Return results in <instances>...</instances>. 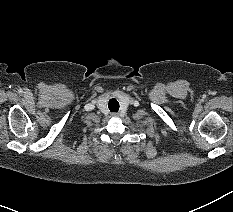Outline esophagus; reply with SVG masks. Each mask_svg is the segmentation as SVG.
Returning a JSON list of instances; mask_svg holds the SVG:
<instances>
[{
    "instance_id": "34e87169",
    "label": "esophagus",
    "mask_w": 233,
    "mask_h": 212,
    "mask_svg": "<svg viewBox=\"0 0 233 212\" xmlns=\"http://www.w3.org/2000/svg\"><path fill=\"white\" fill-rule=\"evenodd\" d=\"M112 116L116 117V116H117V113H113Z\"/></svg>"
}]
</instances>
